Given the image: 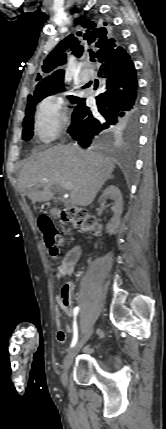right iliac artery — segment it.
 I'll return each instance as SVG.
<instances>
[{
    "mask_svg": "<svg viewBox=\"0 0 166 429\" xmlns=\"http://www.w3.org/2000/svg\"><path fill=\"white\" fill-rule=\"evenodd\" d=\"M78 312H79V307H75L74 310H73V313H74V323H73V339H72V342H71V347H74L75 344L78 341V327H77V323H76V316H77Z\"/></svg>",
    "mask_w": 166,
    "mask_h": 429,
    "instance_id": "right-iliac-artery-1",
    "label": "right iliac artery"
}]
</instances>
